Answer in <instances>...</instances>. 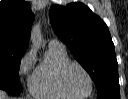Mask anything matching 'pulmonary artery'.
<instances>
[{
	"mask_svg": "<svg viewBox=\"0 0 128 99\" xmlns=\"http://www.w3.org/2000/svg\"><path fill=\"white\" fill-rule=\"evenodd\" d=\"M49 47H52V48H56V49H60V50H64L65 51V46L63 43H61L60 41L58 40H51L49 42Z\"/></svg>",
	"mask_w": 128,
	"mask_h": 99,
	"instance_id": "1",
	"label": "pulmonary artery"
}]
</instances>
